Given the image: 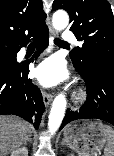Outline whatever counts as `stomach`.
<instances>
[{"label":"stomach","mask_w":114,"mask_h":156,"mask_svg":"<svg viewBox=\"0 0 114 156\" xmlns=\"http://www.w3.org/2000/svg\"><path fill=\"white\" fill-rule=\"evenodd\" d=\"M66 144L83 156H98L108 143L105 125L99 120H78L64 128Z\"/></svg>","instance_id":"stomach-1"}]
</instances>
